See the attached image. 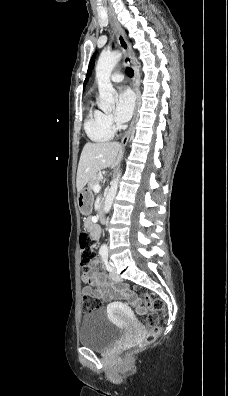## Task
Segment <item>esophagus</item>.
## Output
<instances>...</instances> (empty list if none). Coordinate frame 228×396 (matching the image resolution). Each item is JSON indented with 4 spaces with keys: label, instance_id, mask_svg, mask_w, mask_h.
<instances>
[{
    "label": "esophagus",
    "instance_id": "34e87169",
    "mask_svg": "<svg viewBox=\"0 0 228 396\" xmlns=\"http://www.w3.org/2000/svg\"><path fill=\"white\" fill-rule=\"evenodd\" d=\"M110 17H111V20L115 26L118 43H119L120 47L122 48L124 55H125L124 63L127 65H130L134 70L133 89L136 94V104H135V109H134V114H133L131 124H130L127 132L125 133L124 137L121 140V144L123 146H125L129 140L134 123L137 118V110H138V106H139V95H140V91H139L140 74H139V70L135 64L133 50L126 38L123 28L121 27L120 23L118 22V20L116 19L115 15L112 12H110Z\"/></svg>",
    "mask_w": 228,
    "mask_h": 396
}]
</instances>
